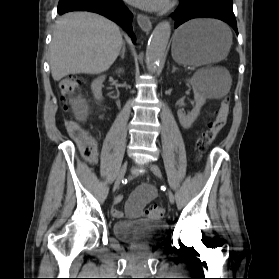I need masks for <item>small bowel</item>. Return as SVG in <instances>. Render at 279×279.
<instances>
[{"instance_id":"obj_1","label":"small bowel","mask_w":279,"mask_h":279,"mask_svg":"<svg viewBox=\"0 0 279 279\" xmlns=\"http://www.w3.org/2000/svg\"><path fill=\"white\" fill-rule=\"evenodd\" d=\"M74 110L76 115L84 119L87 116V105L85 101L79 100L74 104ZM156 195L155 188L150 184H143L136 188L130 195L126 207L125 213L130 218H137L141 215L144 206L149 203ZM120 201V198H116V203ZM112 215L116 218L123 217V212L116 206L112 208Z\"/></svg>"}]
</instances>
